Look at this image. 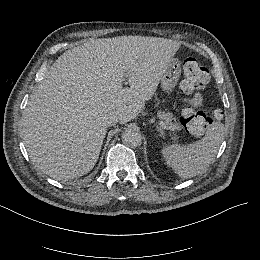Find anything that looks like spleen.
Returning <instances> with one entry per match:
<instances>
[{"label":"spleen","mask_w":260,"mask_h":260,"mask_svg":"<svg viewBox=\"0 0 260 260\" xmlns=\"http://www.w3.org/2000/svg\"><path fill=\"white\" fill-rule=\"evenodd\" d=\"M225 134L224 124L213 122L205 136L189 145L164 146L161 153L166 164L181 178H191L204 172L215 159Z\"/></svg>","instance_id":"1"}]
</instances>
